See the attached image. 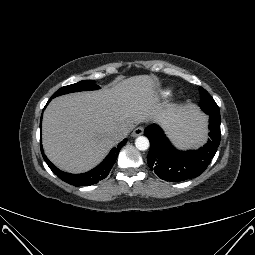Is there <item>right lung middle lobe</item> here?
<instances>
[{
  "label": "right lung middle lobe",
  "instance_id": "1",
  "mask_svg": "<svg viewBox=\"0 0 255 255\" xmlns=\"http://www.w3.org/2000/svg\"><path fill=\"white\" fill-rule=\"evenodd\" d=\"M96 89H99V86L96 85L93 80H83L78 83L60 88L58 91H56L52 95L51 99L59 95H63V94L71 93V92L84 91V90H96Z\"/></svg>",
  "mask_w": 255,
  "mask_h": 255
}]
</instances>
